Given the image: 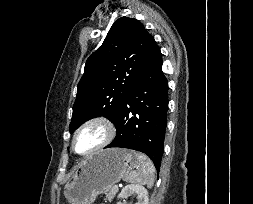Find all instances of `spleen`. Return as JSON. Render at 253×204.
<instances>
[{
  "mask_svg": "<svg viewBox=\"0 0 253 204\" xmlns=\"http://www.w3.org/2000/svg\"><path fill=\"white\" fill-rule=\"evenodd\" d=\"M137 159V169L124 175L123 180L129 183H138L152 187L155 174V167L152 161L142 153L137 154Z\"/></svg>",
  "mask_w": 253,
  "mask_h": 204,
  "instance_id": "obj_1",
  "label": "spleen"
}]
</instances>
